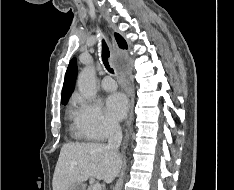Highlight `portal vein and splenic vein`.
I'll return each instance as SVG.
<instances>
[{
    "label": "portal vein and splenic vein",
    "mask_w": 234,
    "mask_h": 190,
    "mask_svg": "<svg viewBox=\"0 0 234 190\" xmlns=\"http://www.w3.org/2000/svg\"><path fill=\"white\" fill-rule=\"evenodd\" d=\"M101 185L99 183H96L93 185L92 190H101Z\"/></svg>",
    "instance_id": "18ae733b"
}]
</instances>
